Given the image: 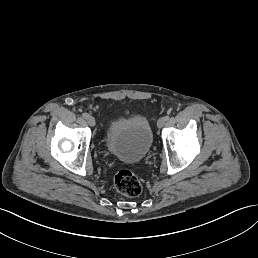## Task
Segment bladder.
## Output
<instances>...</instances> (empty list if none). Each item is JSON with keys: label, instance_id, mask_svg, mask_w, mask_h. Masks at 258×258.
I'll return each instance as SVG.
<instances>
[{"label": "bladder", "instance_id": "bladder-1", "mask_svg": "<svg viewBox=\"0 0 258 258\" xmlns=\"http://www.w3.org/2000/svg\"><path fill=\"white\" fill-rule=\"evenodd\" d=\"M152 139L148 120L134 115L113 121L106 132L105 143L109 151L122 161L132 163L147 155Z\"/></svg>", "mask_w": 258, "mask_h": 258}]
</instances>
